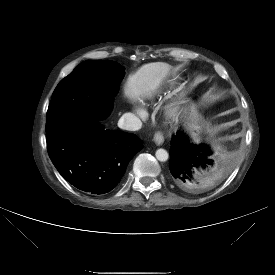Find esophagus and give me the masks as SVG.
Returning <instances> with one entry per match:
<instances>
[{"label":"esophagus","instance_id":"obj_1","mask_svg":"<svg viewBox=\"0 0 275 275\" xmlns=\"http://www.w3.org/2000/svg\"><path fill=\"white\" fill-rule=\"evenodd\" d=\"M153 140L157 145H162L164 142V136H163L162 132H156L153 137Z\"/></svg>","mask_w":275,"mask_h":275}]
</instances>
